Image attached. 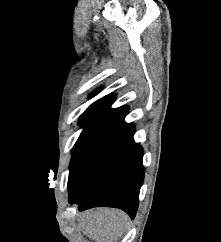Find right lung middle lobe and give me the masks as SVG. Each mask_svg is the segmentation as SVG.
<instances>
[{
    "instance_id": "right-lung-middle-lobe-1",
    "label": "right lung middle lobe",
    "mask_w": 221,
    "mask_h": 242,
    "mask_svg": "<svg viewBox=\"0 0 221 242\" xmlns=\"http://www.w3.org/2000/svg\"><path fill=\"white\" fill-rule=\"evenodd\" d=\"M84 130L79 136L77 142L75 143L73 150H72V158L79 149V147L83 144V142L99 127L95 125H86L84 126Z\"/></svg>"
}]
</instances>
